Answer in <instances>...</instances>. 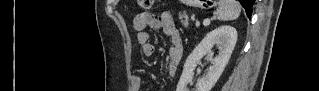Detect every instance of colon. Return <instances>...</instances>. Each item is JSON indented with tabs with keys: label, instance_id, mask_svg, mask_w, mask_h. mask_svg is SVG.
<instances>
[{
	"label": "colon",
	"instance_id": "obj_1",
	"mask_svg": "<svg viewBox=\"0 0 319 91\" xmlns=\"http://www.w3.org/2000/svg\"><path fill=\"white\" fill-rule=\"evenodd\" d=\"M153 4H154V1H152V0H141L140 1V5L144 9H150Z\"/></svg>",
	"mask_w": 319,
	"mask_h": 91
}]
</instances>
